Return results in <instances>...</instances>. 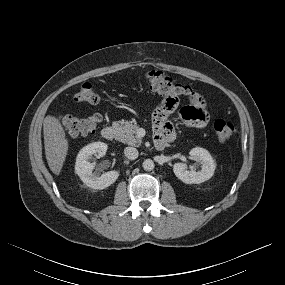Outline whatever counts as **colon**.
<instances>
[{
    "instance_id": "colon-1",
    "label": "colon",
    "mask_w": 285,
    "mask_h": 285,
    "mask_svg": "<svg viewBox=\"0 0 285 285\" xmlns=\"http://www.w3.org/2000/svg\"><path fill=\"white\" fill-rule=\"evenodd\" d=\"M146 82L148 87L161 98L167 94H175L180 99L188 98L193 100L198 97L197 92L192 88L175 81L159 71L149 72L146 76ZM74 99L79 103L92 105L99 102V96L96 93L95 87L89 82L82 84L79 91L74 95ZM100 122L101 116L99 114L84 118L71 115L61 117L63 128L70 136H85L92 134L95 132ZM213 128L216 137L221 142L230 140L237 132V127L233 123L221 119L214 122Z\"/></svg>"
}]
</instances>
